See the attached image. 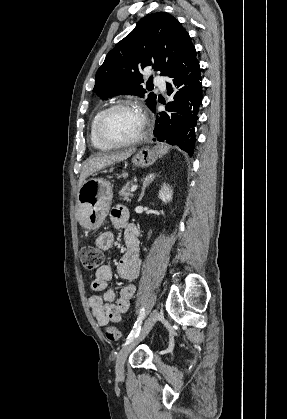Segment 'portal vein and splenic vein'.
Listing matches in <instances>:
<instances>
[{
	"label": "portal vein and splenic vein",
	"instance_id": "portal-vein-and-splenic-vein-1",
	"mask_svg": "<svg viewBox=\"0 0 287 419\" xmlns=\"http://www.w3.org/2000/svg\"><path fill=\"white\" fill-rule=\"evenodd\" d=\"M137 188H138V185H133L132 188H131V192L136 191Z\"/></svg>",
	"mask_w": 287,
	"mask_h": 419
}]
</instances>
